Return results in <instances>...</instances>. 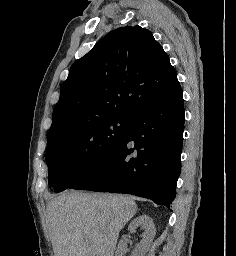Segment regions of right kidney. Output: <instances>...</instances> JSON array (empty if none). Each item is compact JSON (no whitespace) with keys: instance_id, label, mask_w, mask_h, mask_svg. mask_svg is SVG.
<instances>
[{"instance_id":"ca27d5eb","label":"right kidney","mask_w":236,"mask_h":256,"mask_svg":"<svg viewBox=\"0 0 236 256\" xmlns=\"http://www.w3.org/2000/svg\"><path fill=\"white\" fill-rule=\"evenodd\" d=\"M137 228H142L144 230L142 234V240L140 244H137L135 250H133L131 256H146L147 252L150 250V246L154 240L155 236V224L152 218L149 216H138L135 218L131 224L128 226L129 232H135ZM127 236H123L121 242H119L117 256H124L125 252H127Z\"/></svg>"}]
</instances>
